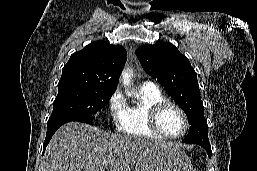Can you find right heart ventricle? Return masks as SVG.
I'll return each instance as SVG.
<instances>
[{"instance_id": "1", "label": "right heart ventricle", "mask_w": 257, "mask_h": 171, "mask_svg": "<svg viewBox=\"0 0 257 171\" xmlns=\"http://www.w3.org/2000/svg\"><path fill=\"white\" fill-rule=\"evenodd\" d=\"M166 100L161 90L155 85H141L137 90L136 100L126 105L125 115L119 130L128 135L162 138L153 132L148 124L150 108Z\"/></svg>"}]
</instances>
